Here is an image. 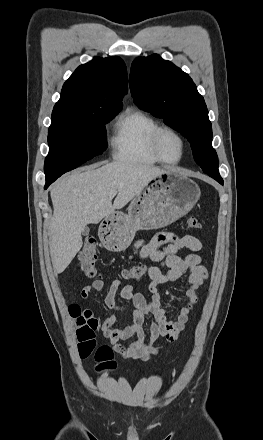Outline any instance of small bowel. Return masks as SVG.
Listing matches in <instances>:
<instances>
[{
	"label": "small bowel",
	"instance_id": "1",
	"mask_svg": "<svg viewBox=\"0 0 263 440\" xmlns=\"http://www.w3.org/2000/svg\"><path fill=\"white\" fill-rule=\"evenodd\" d=\"M197 252L202 249V243L194 236L184 235L176 237L169 232H162L148 240H139L135 244V254L139 259H150L148 276L151 280L149 291L151 300L136 291L132 285H122L120 278L113 279L104 298L107 308L116 312H125L128 306L116 300L119 292L122 299L133 305L132 323L125 327L116 325L115 315L107 316L100 325L103 336L108 339L115 351L121 356L131 360L146 361L158 353L156 344L160 341L172 343L186 328L190 314L198 300V290L207 279L208 273L202 265L201 257L190 253L184 258L178 256L182 250ZM162 268H167L163 272ZM186 275V289L184 296L187 305L179 308L175 318H170L161 303L158 287L161 284L173 282ZM106 287L103 279L96 278L85 285L81 290V297L89 299L92 292L101 291ZM152 316L149 326V336L143 328L147 316ZM131 339L128 346L121 341Z\"/></svg>",
	"mask_w": 263,
	"mask_h": 440
}]
</instances>
